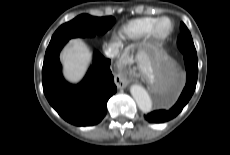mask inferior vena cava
I'll use <instances>...</instances> for the list:
<instances>
[{
  "label": "inferior vena cava",
  "instance_id": "inferior-vena-cava-1",
  "mask_svg": "<svg viewBox=\"0 0 230 155\" xmlns=\"http://www.w3.org/2000/svg\"><path fill=\"white\" fill-rule=\"evenodd\" d=\"M119 52L118 46H111L105 50V54L108 58H114Z\"/></svg>",
  "mask_w": 230,
  "mask_h": 155
}]
</instances>
